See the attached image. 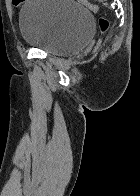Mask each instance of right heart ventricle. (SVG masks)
Returning a JSON list of instances; mask_svg holds the SVG:
<instances>
[{
  "mask_svg": "<svg viewBox=\"0 0 140 196\" xmlns=\"http://www.w3.org/2000/svg\"><path fill=\"white\" fill-rule=\"evenodd\" d=\"M7 192H18V191H7ZM28 192H36V191H28Z\"/></svg>",
  "mask_w": 140,
  "mask_h": 196,
  "instance_id": "e07e8e85",
  "label": "right heart ventricle"
}]
</instances>
